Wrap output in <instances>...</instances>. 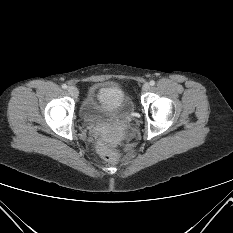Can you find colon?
<instances>
[{"label":"colon","mask_w":233,"mask_h":233,"mask_svg":"<svg viewBox=\"0 0 233 233\" xmlns=\"http://www.w3.org/2000/svg\"><path fill=\"white\" fill-rule=\"evenodd\" d=\"M101 155L105 159H111L112 158V153L107 149H102L101 150Z\"/></svg>","instance_id":"5ec220e1"}]
</instances>
